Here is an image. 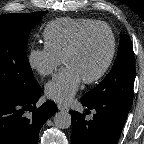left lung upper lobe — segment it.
<instances>
[{"instance_id": "left-lung-upper-lobe-1", "label": "left lung upper lobe", "mask_w": 144, "mask_h": 144, "mask_svg": "<svg viewBox=\"0 0 144 144\" xmlns=\"http://www.w3.org/2000/svg\"><path fill=\"white\" fill-rule=\"evenodd\" d=\"M135 77V59L131 40L126 35L120 36L118 55L110 73L82 99L95 101L112 97L133 102V85Z\"/></svg>"}]
</instances>
